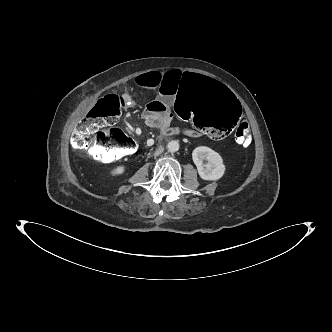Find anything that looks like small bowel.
<instances>
[{
	"instance_id": "small-bowel-1",
	"label": "small bowel",
	"mask_w": 332,
	"mask_h": 332,
	"mask_svg": "<svg viewBox=\"0 0 332 332\" xmlns=\"http://www.w3.org/2000/svg\"><path fill=\"white\" fill-rule=\"evenodd\" d=\"M183 78L180 71H152L139 75L135 82L138 86L154 89L157 96L149 102L144 110L143 116L146 124L157 129L168 127L172 122L171 105L175 97V90L179 81ZM127 105L132 100L127 97ZM185 134L192 138L202 136L197 130L186 129Z\"/></svg>"
}]
</instances>
